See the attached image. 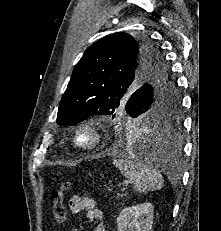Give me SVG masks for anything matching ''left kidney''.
<instances>
[{
    "instance_id": "left-kidney-1",
    "label": "left kidney",
    "mask_w": 221,
    "mask_h": 231,
    "mask_svg": "<svg viewBox=\"0 0 221 231\" xmlns=\"http://www.w3.org/2000/svg\"><path fill=\"white\" fill-rule=\"evenodd\" d=\"M154 206L144 203L124 208L117 218L118 231H152Z\"/></svg>"
}]
</instances>
